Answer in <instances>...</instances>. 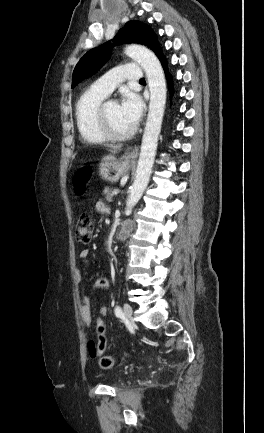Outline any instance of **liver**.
I'll use <instances>...</instances> for the list:
<instances>
[{"label":"liver","instance_id":"liver-1","mask_svg":"<svg viewBox=\"0 0 264 433\" xmlns=\"http://www.w3.org/2000/svg\"><path fill=\"white\" fill-rule=\"evenodd\" d=\"M107 147L112 148L113 153L119 151L121 148V146H119V145H107Z\"/></svg>","mask_w":264,"mask_h":433}]
</instances>
